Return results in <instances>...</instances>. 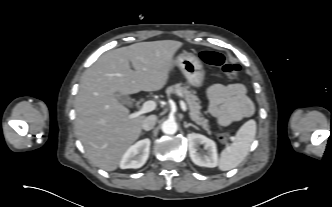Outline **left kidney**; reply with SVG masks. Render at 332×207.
<instances>
[{"instance_id":"obj_1","label":"left kidney","mask_w":332,"mask_h":207,"mask_svg":"<svg viewBox=\"0 0 332 207\" xmlns=\"http://www.w3.org/2000/svg\"><path fill=\"white\" fill-rule=\"evenodd\" d=\"M189 155L192 162L198 166L214 168L218 165L216 144L213 140L201 134L191 133L187 135ZM199 145H204L206 154L199 152Z\"/></svg>"}]
</instances>
